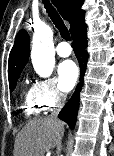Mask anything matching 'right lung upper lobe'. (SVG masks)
<instances>
[{"instance_id": "1", "label": "right lung upper lobe", "mask_w": 114, "mask_h": 156, "mask_svg": "<svg viewBox=\"0 0 114 156\" xmlns=\"http://www.w3.org/2000/svg\"><path fill=\"white\" fill-rule=\"evenodd\" d=\"M64 20L70 22L72 33L84 23L85 12L80 9L82 0H52ZM30 55V38L25 30H21L15 38L9 55L8 77L20 75Z\"/></svg>"}]
</instances>
